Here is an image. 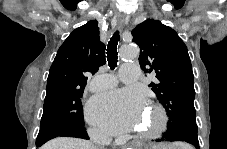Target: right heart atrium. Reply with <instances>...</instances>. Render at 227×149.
<instances>
[{
    "mask_svg": "<svg viewBox=\"0 0 227 149\" xmlns=\"http://www.w3.org/2000/svg\"><path fill=\"white\" fill-rule=\"evenodd\" d=\"M89 134L92 139L96 140L99 143H103L106 140L105 134L97 128H90Z\"/></svg>",
    "mask_w": 227,
    "mask_h": 149,
    "instance_id": "right-heart-atrium-1",
    "label": "right heart atrium"
}]
</instances>
